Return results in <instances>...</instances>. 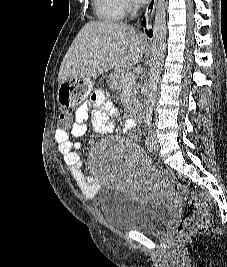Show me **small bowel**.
<instances>
[{
    "label": "small bowel",
    "mask_w": 227,
    "mask_h": 267,
    "mask_svg": "<svg viewBox=\"0 0 227 267\" xmlns=\"http://www.w3.org/2000/svg\"><path fill=\"white\" fill-rule=\"evenodd\" d=\"M116 114L114 106L109 102L104 92H98L90 103L81 105L75 110V122L70 130H59L55 132V141L59 151L64 157L70 173L86 198H94L98 192V186L94 179L88 176L84 169L77 149L81 144L77 141L87 130L86 122L90 117L94 118V127L102 133H109L114 128L109 117ZM136 127L134 119H127L123 125L125 132H131ZM155 189L148 185H142L137 190V195L146 197Z\"/></svg>",
    "instance_id": "small-bowel-1"
}]
</instances>
